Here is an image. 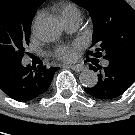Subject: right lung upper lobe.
<instances>
[{
    "label": "right lung upper lobe",
    "mask_w": 135,
    "mask_h": 135,
    "mask_svg": "<svg viewBox=\"0 0 135 135\" xmlns=\"http://www.w3.org/2000/svg\"><path fill=\"white\" fill-rule=\"evenodd\" d=\"M28 9L34 10L36 12V8L39 7L45 0H21Z\"/></svg>",
    "instance_id": "cb5924a9"
}]
</instances>
